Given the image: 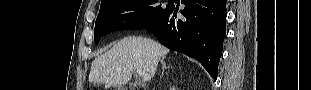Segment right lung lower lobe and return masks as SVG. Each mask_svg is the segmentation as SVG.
Instances as JSON below:
<instances>
[{"instance_id":"right-lung-lower-lobe-1","label":"right lung lower lobe","mask_w":311,"mask_h":90,"mask_svg":"<svg viewBox=\"0 0 311 90\" xmlns=\"http://www.w3.org/2000/svg\"><path fill=\"white\" fill-rule=\"evenodd\" d=\"M227 0H182L185 8L176 17L170 5L157 22L145 27L164 46L197 59L216 80L226 34Z\"/></svg>"}]
</instances>
